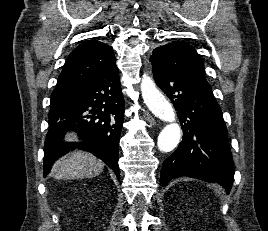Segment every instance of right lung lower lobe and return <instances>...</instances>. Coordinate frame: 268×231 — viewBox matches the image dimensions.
<instances>
[{
  "label": "right lung lower lobe",
  "mask_w": 268,
  "mask_h": 231,
  "mask_svg": "<svg viewBox=\"0 0 268 231\" xmlns=\"http://www.w3.org/2000/svg\"><path fill=\"white\" fill-rule=\"evenodd\" d=\"M124 98L116 62L75 89L67 102L51 106L45 139L44 177L53 162L78 146L105 162L119 179L118 147L124 121ZM68 130L82 142H64Z\"/></svg>",
  "instance_id": "98d812e1"
}]
</instances>
